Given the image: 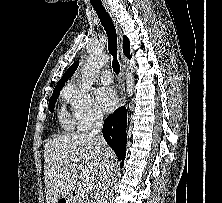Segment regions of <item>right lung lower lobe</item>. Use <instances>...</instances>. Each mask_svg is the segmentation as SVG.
<instances>
[{"mask_svg": "<svg viewBox=\"0 0 222 203\" xmlns=\"http://www.w3.org/2000/svg\"><path fill=\"white\" fill-rule=\"evenodd\" d=\"M126 124V108L120 107L105 120L103 125V136L116 153L118 160H122L121 167H123L126 155Z\"/></svg>", "mask_w": 222, "mask_h": 203, "instance_id": "obj_1", "label": "right lung lower lobe"}]
</instances>
